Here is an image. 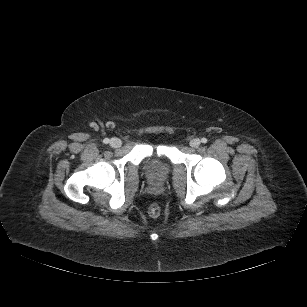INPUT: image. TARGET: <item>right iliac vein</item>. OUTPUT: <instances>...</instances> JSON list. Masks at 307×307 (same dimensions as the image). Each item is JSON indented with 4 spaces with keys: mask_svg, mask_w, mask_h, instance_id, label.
I'll return each mask as SVG.
<instances>
[{
    "mask_svg": "<svg viewBox=\"0 0 307 307\" xmlns=\"http://www.w3.org/2000/svg\"><path fill=\"white\" fill-rule=\"evenodd\" d=\"M122 145V141L119 138H112L110 140V146L113 148H119Z\"/></svg>",
    "mask_w": 307,
    "mask_h": 307,
    "instance_id": "63e3f726",
    "label": "right iliac vein"
}]
</instances>
